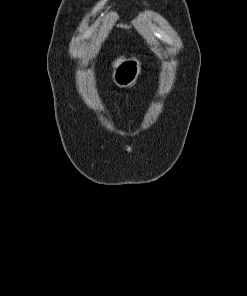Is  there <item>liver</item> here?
Wrapping results in <instances>:
<instances>
[{
  "mask_svg": "<svg viewBox=\"0 0 247 296\" xmlns=\"http://www.w3.org/2000/svg\"><path fill=\"white\" fill-rule=\"evenodd\" d=\"M119 61H121V59H118L117 62L115 63V65H116Z\"/></svg>",
  "mask_w": 247,
  "mask_h": 296,
  "instance_id": "liver-1",
  "label": "liver"
}]
</instances>
